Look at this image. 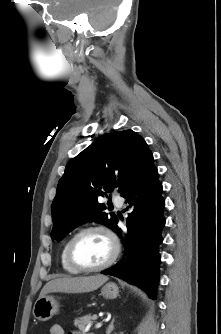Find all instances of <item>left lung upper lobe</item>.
Returning <instances> with one entry per match:
<instances>
[{"label":"left lung upper lobe","instance_id":"5c2ea615","mask_svg":"<svg viewBox=\"0 0 221 334\" xmlns=\"http://www.w3.org/2000/svg\"><path fill=\"white\" fill-rule=\"evenodd\" d=\"M153 159L142 136L115 131L94 141L65 167L51 206V238L60 241L78 225L95 221L113 229L117 217L104 212L98 199L118 189L121 196Z\"/></svg>","mask_w":221,"mask_h":334}]
</instances>
